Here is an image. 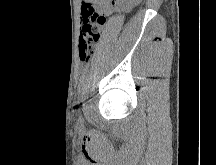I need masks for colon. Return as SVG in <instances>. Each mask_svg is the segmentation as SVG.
<instances>
[{
	"mask_svg": "<svg viewBox=\"0 0 216 165\" xmlns=\"http://www.w3.org/2000/svg\"><path fill=\"white\" fill-rule=\"evenodd\" d=\"M105 21V16L98 14L95 10H83L79 41V54L82 61H88L93 54L94 47L100 40Z\"/></svg>",
	"mask_w": 216,
	"mask_h": 165,
	"instance_id": "5ec220e1",
	"label": "colon"
}]
</instances>
